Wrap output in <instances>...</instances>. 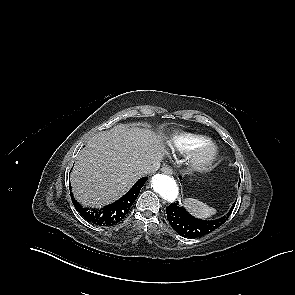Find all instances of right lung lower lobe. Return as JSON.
<instances>
[{"label":"right lung lower lobe","mask_w":295,"mask_h":295,"mask_svg":"<svg viewBox=\"0 0 295 295\" xmlns=\"http://www.w3.org/2000/svg\"><path fill=\"white\" fill-rule=\"evenodd\" d=\"M146 180L147 177L139 179L122 198L101 209L84 208L73 198L71 194L72 202L76 210L87 221L99 226H111L120 222L126 216L131 205L137 199Z\"/></svg>","instance_id":"98d812e1"}]
</instances>
